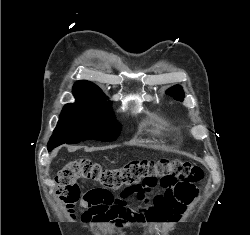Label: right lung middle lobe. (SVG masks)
I'll return each instance as SVG.
<instances>
[{"label":"right lung middle lobe","mask_w":250,"mask_h":235,"mask_svg":"<svg viewBox=\"0 0 250 235\" xmlns=\"http://www.w3.org/2000/svg\"><path fill=\"white\" fill-rule=\"evenodd\" d=\"M120 131L121 125L115 120L109 102L76 101L63 108L48 145L115 141Z\"/></svg>","instance_id":"1"}]
</instances>
